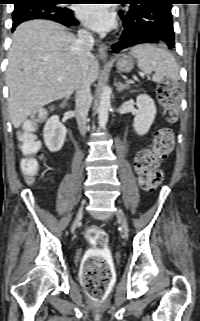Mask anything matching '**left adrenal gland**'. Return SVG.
<instances>
[{
	"instance_id": "a2214340",
	"label": "left adrenal gland",
	"mask_w": 200,
	"mask_h": 321,
	"mask_svg": "<svg viewBox=\"0 0 200 321\" xmlns=\"http://www.w3.org/2000/svg\"><path fill=\"white\" fill-rule=\"evenodd\" d=\"M115 86L117 91H123L124 89H128V84L121 83V82H115Z\"/></svg>"
}]
</instances>
